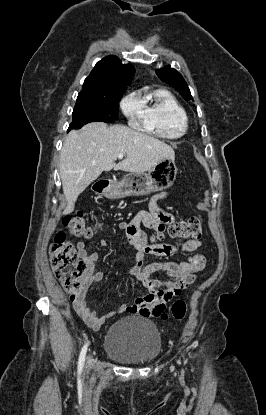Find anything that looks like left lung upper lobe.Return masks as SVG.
<instances>
[{"label": "left lung upper lobe", "instance_id": "5c2ea615", "mask_svg": "<svg viewBox=\"0 0 266 415\" xmlns=\"http://www.w3.org/2000/svg\"><path fill=\"white\" fill-rule=\"evenodd\" d=\"M156 72L162 81L166 82L180 92L185 100H193L186 81L177 70L167 66L157 70Z\"/></svg>", "mask_w": 266, "mask_h": 415}]
</instances>
